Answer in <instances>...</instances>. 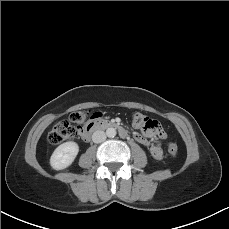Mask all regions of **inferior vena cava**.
I'll use <instances>...</instances> for the list:
<instances>
[{"label":"inferior vena cava","mask_w":229,"mask_h":229,"mask_svg":"<svg viewBox=\"0 0 229 229\" xmlns=\"http://www.w3.org/2000/svg\"><path fill=\"white\" fill-rule=\"evenodd\" d=\"M106 140V134L104 131H95L92 135V141L94 143H101Z\"/></svg>","instance_id":"inferior-vena-cava-1"}]
</instances>
